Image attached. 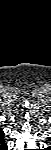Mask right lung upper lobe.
I'll list each match as a JSON object with an SVG mask.
<instances>
[{
    "mask_svg": "<svg viewBox=\"0 0 51 150\" xmlns=\"http://www.w3.org/2000/svg\"><path fill=\"white\" fill-rule=\"evenodd\" d=\"M3 137H4V134H3V132L0 130V144H1L2 142H4Z\"/></svg>",
    "mask_w": 51,
    "mask_h": 150,
    "instance_id": "obj_1",
    "label": "right lung upper lobe"
}]
</instances>
